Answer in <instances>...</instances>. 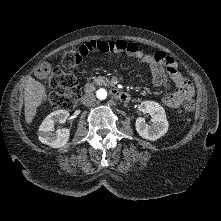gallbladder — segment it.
<instances>
[{
    "mask_svg": "<svg viewBox=\"0 0 221 221\" xmlns=\"http://www.w3.org/2000/svg\"><path fill=\"white\" fill-rule=\"evenodd\" d=\"M49 72L48 71H39V72H36L35 75L36 77L42 79V78H46L48 76Z\"/></svg>",
    "mask_w": 221,
    "mask_h": 221,
    "instance_id": "bac80fb5",
    "label": "gallbladder"
}]
</instances>
